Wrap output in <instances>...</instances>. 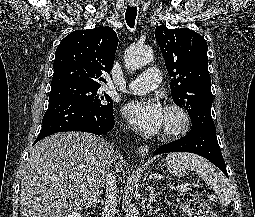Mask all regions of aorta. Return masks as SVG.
Instances as JSON below:
<instances>
[{
    "instance_id": "1",
    "label": "aorta",
    "mask_w": 255,
    "mask_h": 217,
    "mask_svg": "<svg viewBox=\"0 0 255 217\" xmlns=\"http://www.w3.org/2000/svg\"><path fill=\"white\" fill-rule=\"evenodd\" d=\"M153 60V52L145 46L130 45L124 54L125 66L129 70H136ZM125 217H139V210L133 203H127Z\"/></svg>"
}]
</instances>
